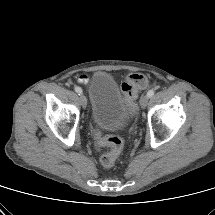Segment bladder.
Segmentation results:
<instances>
[{"instance_id":"31cf9c89","label":"bladder","mask_w":215,"mask_h":215,"mask_svg":"<svg viewBox=\"0 0 215 215\" xmlns=\"http://www.w3.org/2000/svg\"><path fill=\"white\" fill-rule=\"evenodd\" d=\"M91 118L103 130L124 128L129 121V110L115 79L108 73L96 72L88 87Z\"/></svg>"}]
</instances>
